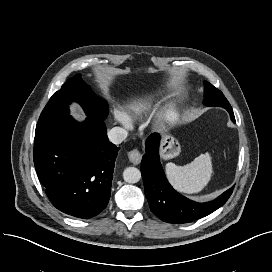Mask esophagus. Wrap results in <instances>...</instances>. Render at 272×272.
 I'll return each mask as SVG.
<instances>
[{"instance_id": "obj_1", "label": "esophagus", "mask_w": 272, "mask_h": 272, "mask_svg": "<svg viewBox=\"0 0 272 272\" xmlns=\"http://www.w3.org/2000/svg\"><path fill=\"white\" fill-rule=\"evenodd\" d=\"M128 157H129V160L134 165H137L141 161L142 154L140 153V151L138 149H133V150H131V151L128 152Z\"/></svg>"}]
</instances>
